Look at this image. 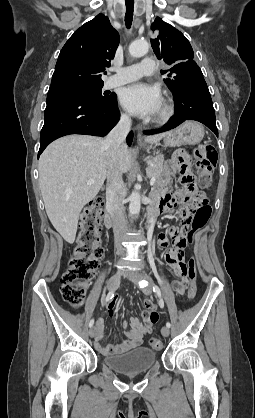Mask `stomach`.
Listing matches in <instances>:
<instances>
[{"instance_id":"stomach-1","label":"stomach","mask_w":255,"mask_h":418,"mask_svg":"<svg viewBox=\"0 0 255 418\" xmlns=\"http://www.w3.org/2000/svg\"><path fill=\"white\" fill-rule=\"evenodd\" d=\"M204 137L203 128L195 122H186L164 137L165 147L198 144Z\"/></svg>"}]
</instances>
